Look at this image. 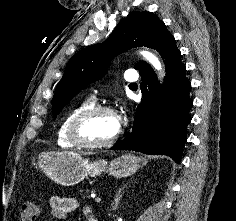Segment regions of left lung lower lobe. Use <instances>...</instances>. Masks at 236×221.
I'll return each instance as SVG.
<instances>
[{
    "label": "left lung lower lobe",
    "mask_w": 236,
    "mask_h": 221,
    "mask_svg": "<svg viewBox=\"0 0 236 221\" xmlns=\"http://www.w3.org/2000/svg\"><path fill=\"white\" fill-rule=\"evenodd\" d=\"M154 49L165 62L163 90L155 72L145 63L139 69L142 102L136 110L132 133L112 149L168 155L178 163L186 141V127L191 121V83L185 77L186 67L181 63L175 39L168 31L159 38Z\"/></svg>",
    "instance_id": "0a47b994"
}]
</instances>
